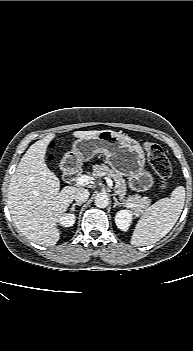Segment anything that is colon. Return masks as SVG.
I'll return each instance as SVG.
<instances>
[{"mask_svg":"<svg viewBox=\"0 0 193 351\" xmlns=\"http://www.w3.org/2000/svg\"><path fill=\"white\" fill-rule=\"evenodd\" d=\"M143 145L147 153L148 162L159 177L160 188L166 189L172 174V167L168 158L158 144L144 141Z\"/></svg>","mask_w":193,"mask_h":351,"instance_id":"1","label":"colon"}]
</instances>
